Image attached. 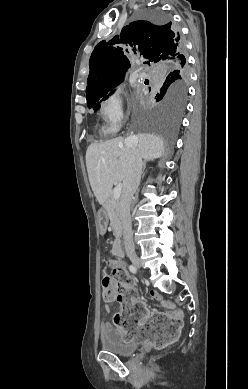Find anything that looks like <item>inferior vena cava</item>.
<instances>
[{
	"label": "inferior vena cava",
	"mask_w": 248,
	"mask_h": 389,
	"mask_svg": "<svg viewBox=\"0 0 248 389\" xmlns=\"http://www.w3.org/2000/svg\"><path fill=\"white\" fill-rule=\"evenodd\" d=\"M128 153L129 163L126 177L123 181V192L120 198V219L123 227V239L126 251H134L133 233L130 216V205L133 195L138 189L142 174V157L137 148L135 141L128 137L125 140Z\"/></svg>",
	"instance_id": "obj_1"
}]
</instances>
